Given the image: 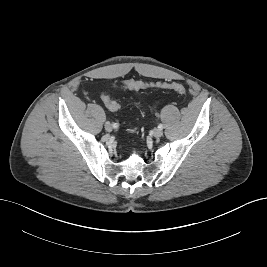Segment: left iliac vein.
<instances>
[{
  "instance_id": "4c4485c4",
  "label": "left iliac vein",
  "mask_w": 267,
  "mask_h": 267,
  "mask_svg": "<svg viewBox=\"0 0 267 267\" xmlns=\"http://www.w3.org/2000/svg\"><path fill=\"white\" fill-rule=\"evenodd\" d=\"M153 135H154V137H156V138H160V137L163 135V132H162L161 129H159V128H155V129L153 130Z\"/></svg>"
}]
</instances>
